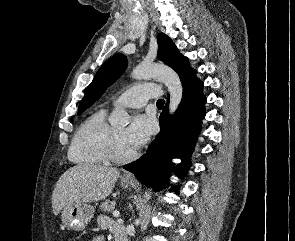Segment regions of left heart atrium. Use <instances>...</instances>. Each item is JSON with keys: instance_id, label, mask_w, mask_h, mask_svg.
I'll return each instance as SVG.
<instances>
[{"instance_id": "39dd6f15", "label": "left heart atrium", "mask_w": 295, "mask_h": 241, "mask_svg": "<svg viewBox=\"0 0 295 241\" xmlns=\"http://www.w3.org/2000/svg\"><path fill=\"white\" fill-rule=\"evenodd\" d=\"M154 122L149 116L138 115L126 129L124 138L126 143L134 150L142 147L150 138Z\"/></svg>"}]
</instances>
